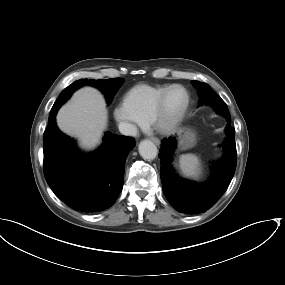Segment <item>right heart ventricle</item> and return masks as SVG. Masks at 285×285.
<instances>
[{"mask_svg": "<svg viewBox=\"0 0 285 285\" xmlns=\"http://www.w3.org/2000/svg\"><path fill=\"white\" fill-rule=\"evenodd\" d=\"M167 87L168 85H137L125 94L123 101L128 105L139 122L146 124Z\"/></svg>", "mask_w": 285, "mask_h": 285, "instance_id": "right-heart-ventricle-1", "label": "right heart ventricle"}]
</instances>
